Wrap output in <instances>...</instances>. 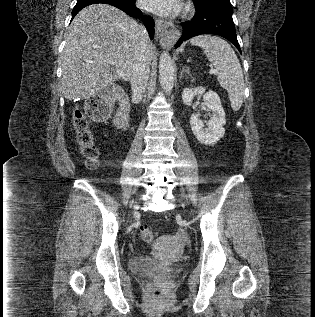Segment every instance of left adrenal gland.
<instances>
[{
    "instance_id": "a2214340",
    "label": "left adrenal gland",
    "mask_w": 315,
    "mask_h": 317,
    "mask_svg": "<svg viewBox=\"0 0 315 317\" xmlns=\"http://www.w3.org/2000/svg\"><path fill=\"white\" fill-rule=\"evenodd\" d=\"M187 73L191 78H193L192 77V75L190 74V70H189V68L188 67H183V69H182V71H181V75H182V73Z\"/></svg>"
}]
</instances>
